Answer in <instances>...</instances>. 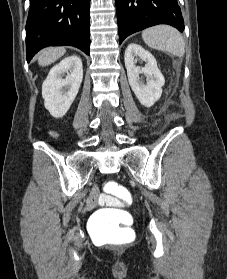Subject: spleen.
Returning a JSON list of instances; mask_svg holds the SVG:
<instances>
[{"label":"spleen","mask_w":227,"mask_h":279,"mask_svg":"<svg viewBox=\"0 0 227 279\" xmlns=\"http://www.w3.org/2000/svg\"><path fill=\"white\" fill-rule=\"evenodd\" d=\"M144 42L151 48L169 52L182 57L185 53V43L181 34L168 25H158L142 32Z\"/></svg>","instance_id":"spleen-1"}]
</instances>
